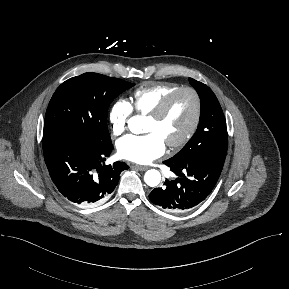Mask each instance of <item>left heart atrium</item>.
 I'll list each match as a JSON object with an SVG mask.
<instances>
[{
    "instance_id": "left-heart-atrium-1",
    "label": "left heart atrium",
    "mask_w": 289,
    "mask_h": 289,
    "mask_svg": "<svg viewBox=\"0 0 289 289\" xmlns=\"http://www.w3.org/2000/svg\"><path fill=\"white\" fill-rule=\"evenodd\" d=\"M117 150L123 159L146 164L165 152V143L154 132L145 135H127L117 142Z\"/></svg>"
}]
</instances>
